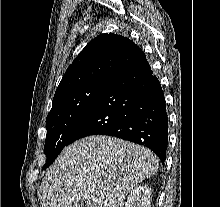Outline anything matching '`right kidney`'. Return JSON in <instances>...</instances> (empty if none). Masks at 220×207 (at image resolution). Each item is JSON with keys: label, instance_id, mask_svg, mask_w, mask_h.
Listing matches in <instances>:
<instances>
[{"label": "right kidney", "instance_id": "right-kidney-1", "mask_svg": "<svg viewBox=\"0 0 220 207\" xmlns=\"http://www.w3.org/2000/svg\"><path fill=\"white\" fill-rule=\"evenodd\" d=\"M151 189L147 185L136 186L129 194L125 207H150Z\"/></svg>", "mask_w": 220, "mask_h": 207}]
</instances>
